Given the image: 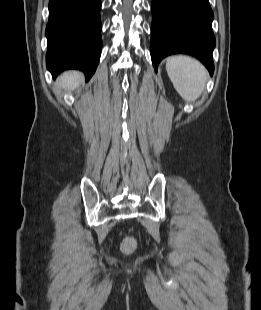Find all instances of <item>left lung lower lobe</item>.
<instances>
[{
  "label": "left lung lower lobe",
  "instance_id": "0a47b994",
  "mask_svg": "<svg viewBox=\"0 0 261 310\" xmlns=\"http://www.w3.org/2000/svg\"><path fill=\"white\" fill-rule=\"evenodd\" d=\"M151 58L157 71L168 55L186 53L198 58L212 75L213 12L208 0H152Z\"/></svg>",
  "mask_w": 261,
  "mask_h": 310
}]
</instances>
